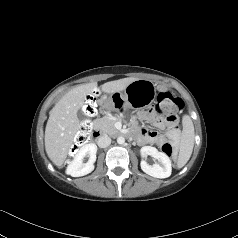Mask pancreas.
Returning <instances> with one entry per match:
<instances>
[{
    "label": "pancreas",
    "mask_w": 238,
    "mask_h": 238,
    "mask_svg": "<svg viewBox=\"0 0 238 238\" xmlns=\"http://www.w3.org/2000/svg\"><path fill=\"white\" fill-rule=\"evenodd\" d=\"M114 124H115V119L112 116H104L103 118H98L94 121V127L96 129L110 135L118 132Z\"/></svg>",
    "instance_id": "obj_1"
}]
</instances>
